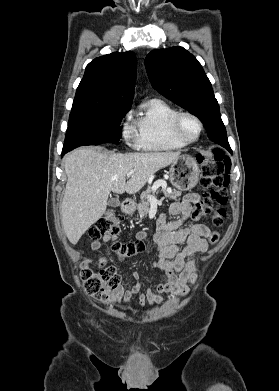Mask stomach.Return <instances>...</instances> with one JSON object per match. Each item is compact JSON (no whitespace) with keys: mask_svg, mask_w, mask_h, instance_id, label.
Instances as JSON below:
<instances>
[{"mask_svg":"<svg viewBox=\"0 0 279 391\" xmlns=\"http://www.w3.org/2000/svg\"><path fill=\"white\" fill-rule=\"evenodd\" d=\"M200 170L190 156H180L170 167L171 184L180 191H188L199 181Z\"/></svg>","mask_w":279,"mask_h":391,"instance_id":"0dacf381","label":"stomach"}]
</instances>
